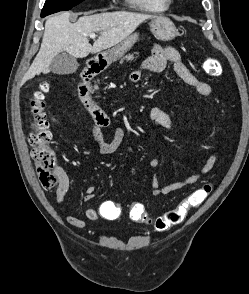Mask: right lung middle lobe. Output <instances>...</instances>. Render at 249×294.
<instances>
[{
	"mask_svg": "<svg viewBox=\"0 0 249 294\" xmlns=\"http://www.w3.org/2000/svg\"><path fill=\"white\" fill-rule=\"evenodd\" d=\"M82 1L83 0H46L41 12V17H45L59 11L70 10Z\"/></svg>",
	"mask_w": 249,
	"mask_h": 294,
	"instance_id": "dd1d6c3e",
	"label": "right lung middle lobe"
}]
</instances>
